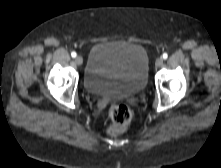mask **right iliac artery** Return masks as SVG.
Instances as JSON below:
<instances>
[{
  "mask_svg": "<svg viewBox=\"0 0 221 168\" xmlns=\"http://www.w3.org/2000/svg\"><path fill=\"white\" fill-rule=\"evenodd\" d=\"M76 55H77L76 52H72V53H71V56H72L73 58H75Z\"/></svg>",
  "mask_w": 221,
  "mask_h": 168,
  "instance_id": "right-iliac-artery-1",
  "label": "right iliac artery"
}]
</instances>
